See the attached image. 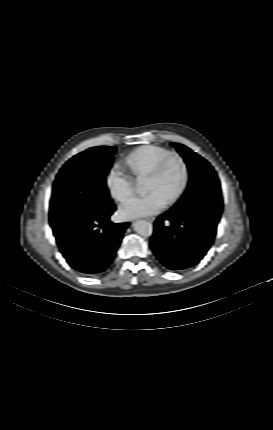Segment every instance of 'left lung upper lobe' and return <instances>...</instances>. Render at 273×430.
I'll use <instances>...</instances> for the list:
<instances>
[{"label": "left lung upper lobe", "instance_id": "5c2ea615", "mask_svg": "<svg viewBox=\"0 0 273 430\" xmlns=\"http://www.w3.org/2000/svg\"><path fill=\"white\" fill-rule=\"evenodd\" d=\"M171 145L176 147L180 155L184 158L190 175L189 184L184 195L173 208L180 206L183 200L189 199L201 192L208 191L221 195L220 182L213 167L188 147L179 143H171Z\"/></svg>", "mask_w": 273, "mask_h": 430}]
</instances>
